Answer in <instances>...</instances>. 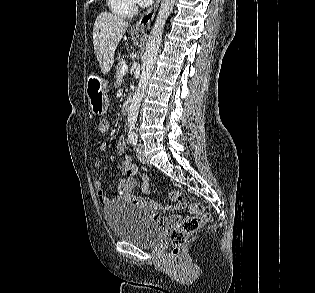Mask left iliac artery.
<instances>
[{
    "label": "left iliac artery",
    "mask_w": 315,
    "mask_h": 293,
    "mask_svg": "<svg viewBox=\"0 0 315 293\" xmlns=\"http://www.w3.org/2000/svg\"><path fill=\"white\" fill-rule=\"evenodd\" d=\"M128 140L131 144L136 145L138 140L137 134L135 132H129Z\"/></svg>",
    "instance_id": "1"
}]
</instances>
